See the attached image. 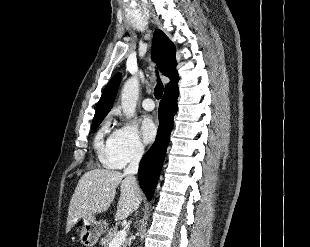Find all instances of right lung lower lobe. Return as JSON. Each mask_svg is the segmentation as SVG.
Listing matches in <instances>:
<instances>
[{"instance_id":"right-lung-lower-lobe-1","label":"right lung lower lobe","mask_w":310,"mask_h":247,"mask_svg":"<svg viewBox=\"0 0 310 247\" xmlns=\"http://www.w3.org/2000/svg\"><path fill=\"white\" fill-rule=\"evenodd\" d=\"M178 87L175 86L165 90V94L159 105V128L153 146L143 156L140 165L138 178L140 187L150 201L159 178L161 167L164 161L166 148L168 146L170 132L173 127V116L177 112Z\"/></svg>"}]
</instances>
